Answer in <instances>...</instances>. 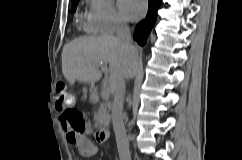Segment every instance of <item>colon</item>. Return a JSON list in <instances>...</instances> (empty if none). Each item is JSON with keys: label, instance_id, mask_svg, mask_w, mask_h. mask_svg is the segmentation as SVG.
Here are the masks:
<instances>
[{"label": "colon", "instance_id": "5ec220e1", "mask_svg": "<svg viewBox=\"0 0 242 160\" xmlns=\"http://www.w3.org/2000/svg\"><path fill=\"white\" fill-rule=\"evenodd\" d=\"M72 94L64 82L56 85L55 106L61 112V118L68 123L71 131L80 133L84 130L86 120L82 112L71 107ZM96 149L92 152L94 154Z\"/></svg>", "mask_w": 242, "mask_h": 160}]
</instances>
